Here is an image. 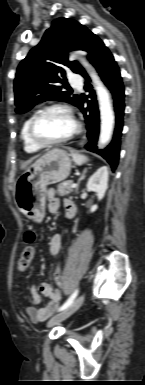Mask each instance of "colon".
<instances>
[{"mask_svg": "<svg viewBox=\"0 0 145 385\" xmlns=\"http://www.w3.org/2000/svg\"><path fill=\"white\" fill-rule=\"evenodd\" d=\"M35 239L36 234L34 231L30 230L25 233L24 240L26 242V246L22 249L17 262V267L20 271L27 270L34 259L35 248L32 244Z\"/></svg>", "mask_w": 145, "mask_h": 385, "instance_id": "1", "label": "colon"}]
</instances>
